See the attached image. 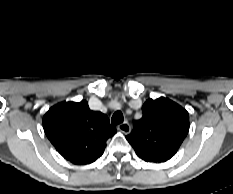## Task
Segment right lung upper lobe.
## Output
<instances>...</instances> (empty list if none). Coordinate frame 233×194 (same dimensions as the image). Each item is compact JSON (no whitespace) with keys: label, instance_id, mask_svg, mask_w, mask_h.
<instances>
[{"label":"right lung upper lobe","instance_id":"1","mask_svg":"<svg viewBox=\"0 0 233 194\" xmlns=\"http://www.w3.org/2000/svg\"><path fill=\"white\" fill-rule=\"evenodd\" d=\"M43 127L57 151L77 165L96 161L103 154L107 139L116 133L108 117L90 110L85 100L50 108L44 115Z\"/></svg>","mask_w":233,"mask_h":194}]
</instances>
